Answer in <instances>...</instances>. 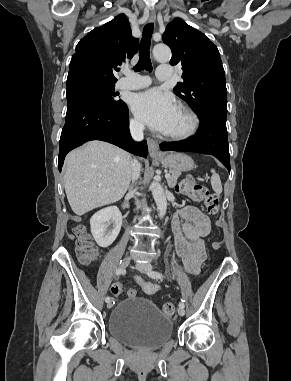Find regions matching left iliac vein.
I'll use <instances>...</instances> for the list:
<instances>
[{
    "label": "left iliac vein",
    "instance_id": "left-iliac-vein-1",
    "mask_svg": "<svg viewBox=\"0 0 291 381\" xmlns=\"http://www.w3.org/2000/svg\"><path fill=\"white\" fill-rule=\"evenodd\" d=\"M136 268L137 270H139L140 272L142 273H145V274H148V272L152 271V265L149 264V263H138L136 264ZM178 314L180 316H184L185 315V309L183 307H179L178 308Z\"/></svg>",
    "mask_w": 291,
    "mask_h": 381
}]
</instances>
